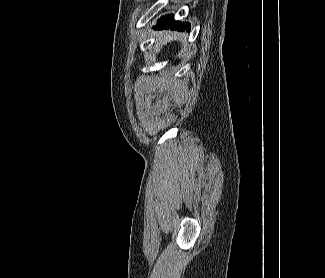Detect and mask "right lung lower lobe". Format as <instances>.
<instances>
[{
	"instance_id": "98d812e1",
	"label": "right lung lower lobe",
	"mask_w": 325,
	"mask_h": 278,
	"mask_svg": "<svg viewBox=\"0 0 325 278\" xmlns=\"http://www.w3.org/2000/svg\"><path fill=\"white\" fill-rule=\"evenodd\" d=\"M190 25L187 23H178L176 21L173 20V17H169V16H165L163 18L160 19V21H158L157 26H155V29H163V28H171V29H175L178 31H184L185 29H187V31H189Z\"/></svg>"
}]
</instances>
